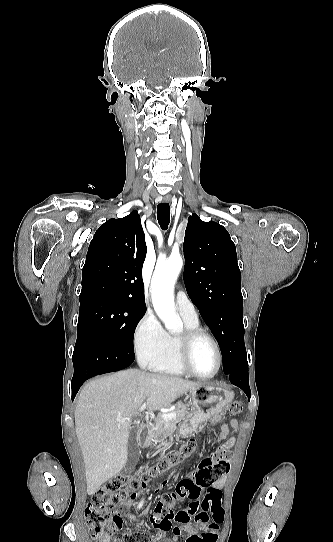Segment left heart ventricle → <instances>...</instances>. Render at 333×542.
<instances>
[{"label":"left heart ventricle","mask_w":333,"mask_h":542,"mask_svg":"<svg viewBox=\"0 0 333 542\" xmlns=\"http://www.w3.org/2000/svg\"><path fill=\"white\" fill-rule=\"evenodd\" d=\"M190 365L200 375H210L216 370L217 355L210 341L200 339L193 345Z\"/></svg>","instance_id":"left-heart-ventricle-1"}]
</instances>
